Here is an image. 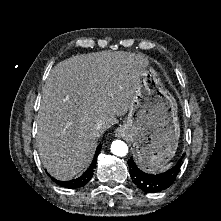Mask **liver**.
I'll return each instance as SVG.
<instances>
[{"mask_svg":"<svg viewBox=\"0 0 221 221\" xmlns=\"http://www.w3.org/2000/svg\"><path fill=\"white\" fill-rule=\"evenodd\" d=\"M148 59L102 51L59 62L42 88L36 144L50 175L67 181L91 161L95 139L130 108ZM104 123L101 130L96 124Z\"/></svg>","mask_w":221,"mask_h":221,"instance_id":"6515ba94","label":"liver"}]
</instances>
